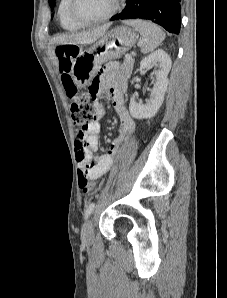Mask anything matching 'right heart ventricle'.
<instances>
[{
    "label": "right heart ventricle",
    "mask_w": 227,
    "mask_h": 298,
    "mask_svg": "<svg viewBox=\"0 0 227 298\" xmlns=\"http://www.w3.org/2000/svg\"><path fill=\"white\" fill-rule=\"evenodd\" d=\"M69 0H60L58 5V18L63 29L73 31L80 29L82 25L74 22L68 13Z\"/></svg>",
    "instance_id": "e07e8e85"
}]
</instances>
